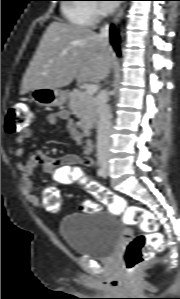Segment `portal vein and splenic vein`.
<instances>
[{
	"instance_id": "1",
	"label": "portal vein and splenic vein",
	"mask_w": 180,
	"mask_h": 299,
	"mask_svg": "<svg viewBox=\"0 0 180 299\" xmlns=\"http://www.w3.org/2000/svg\"><path fill=\"white\" fill-rule=\"evenodd\" d=\"M85 90H86L87 94L92 95V94H94V93L97 92L98 87L95 84H91V85H87L86 88H85Z\"/></svg>"
}]
</instances>
